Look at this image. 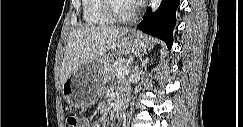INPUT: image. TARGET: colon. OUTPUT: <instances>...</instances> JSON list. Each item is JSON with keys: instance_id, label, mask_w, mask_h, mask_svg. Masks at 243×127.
I'll return each mask as SVG.
<instances>
[{"instance_id": "obj_1", "label": "colon", "mask_w": 243, "mask_h": 127, "mask_svg": "<svg viewBox=\"0 0 243 127\" xmlns=\"http://www.w3.org/2000/svg\"><path fill=\"white\" fill-rule=\"evenodd\" d=\"M66 124L68 127H84L82 119L74 112L67 115Z\"/></svg>"}]
</instances>
